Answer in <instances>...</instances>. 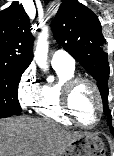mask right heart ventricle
Segmentation results:
<instances>
[{"instance_id":"1","label":"right heart ventricle","mask_w":114,"mask_h":156,"mask_svg":"<svg viewBox=\"0 0 114 156\" xmlns=\"http://www.w3.org/2000/svg\"><path fill=\"white\" fill-rule=\"evenodd\" d=\"M58 80L55 83H47L41 86L40 94L34 104V110L40 117L60 123L64 126H72L73 121L66 115L61 104L62 88L66 81L75 76L74 69L53 66Z\"/></svg>"}]
</instances>
